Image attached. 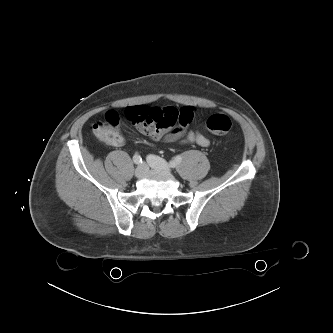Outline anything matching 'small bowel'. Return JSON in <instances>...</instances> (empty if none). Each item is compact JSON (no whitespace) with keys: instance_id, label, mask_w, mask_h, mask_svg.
I'll return each mask as SVG.
<instances>
[{"instance_id":"1","label":"small bowel","mask_w":333,"mask_h":333,"mask_svg":"<svg viewBox=\"0 0 333 333\" xmlns=\"http://www.w3.org/2000/svg\"><path fill=\"white\" fill-rule=\"evenodd\" d=\"M195 111L192 107L177 109L167 107L134 106L125 110V118L141 134L155 141H181L202 147L210 144V140L194 130H187ZM125 142L123 135L115 132L111 146H121Z\"/></svg>"}]
</instances>
